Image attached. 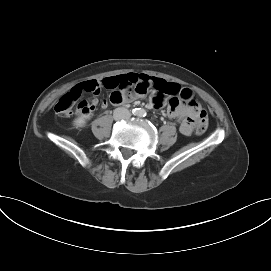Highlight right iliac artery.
Listing matches in <instances>:
<instances>
[{"label": "right iliac artery", "instance_id": "right-iliac-artery-1", "mask_svg": "<svg viewBox=\"0 0 271 271\" xmlns=\"http://www.w3.org/2000/svg\"><path fill=\"white\" fill-rule=\"evenodd\" d=\"M139 111H140L139 108H135V109L132 110V114H133V115H138V114H139Z\"/></svg>", "mask_w": 271, "mask_h": 271}]
</instances>
